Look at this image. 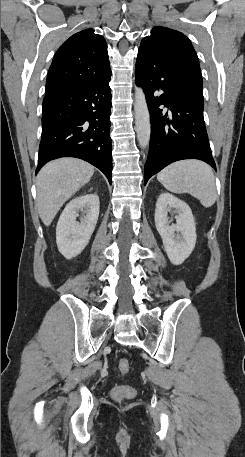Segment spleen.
I'll use <instances>...</instances> for the list:
<instances>
[{"instance_id":"obj_1","label":"spleen","mask_w":245,"mask_h":457,"mask_svg":"<svg viewBox=\"0 0 245 457\" xmlns=\"http://www.w3.org/2000/svg\"><path fill=\"white\" fill-rule=\"evenodd\" d=\"M157 180L171 192H189L206 208L217 198L213 168L203 160H177L158 172Z\"/></svg>"}]
</instances>
